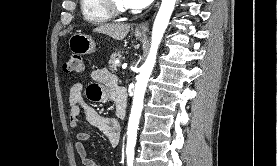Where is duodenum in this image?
Returning a JSON list of instances; mask_svg holds the SVG:
<instances>
[{
	"label": "duodenum",
	"instance_id": "1",
	"mask_svg": "<svg viewBox=\"0 0 277 166\" xmlns=\"http://www.w3.org/2000/svg\"><path fill=\"white\" fill-rule=\"evenodd\" d=\"M115 103L117 107L118 116L124 119L127 109V94L124 90L119 89L115 94Z\"/></svg>",
	"mask_w": 277,
	"mask_h": 166
}]
</instances>
